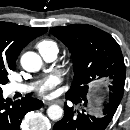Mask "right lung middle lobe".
I'll use <instances>...</instances> for the list:
<instances>
[{"label": "right lung middle lobe", "mask_w": 130, "mask_h": 130, "mask_svg": "<svg viewBox=\"0 0 130 130\" xmlns=\"http://www.w3.org/2000/svg\"><path fill=\"white\" fill-rule=\"evenodd\" d=\"M10 70H14V68L7 67L3 63H0V92L2 91L1 86L9 81L7 76Z\"/></svg>", "instance_id": "1"}]
</instances>
